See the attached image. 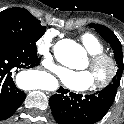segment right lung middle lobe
I'll return each instance as SVG.
<instances>
[{
  "mask_svg": "<svg viewBox=\"0 0 124 124\" xmlns=\"http://www.w3.org/2000/svg\"><path fill=\"white\" fill-rule=\"evenodd\" d=\"M46 27L24 8H10L0 12V41L21 43L36 51V42Z\"/></svg>",
  "mask_w": 124,
  "mask_h": 124,
  "instance_id": "1",
  "label": "right lung middle lobe"
}]
</instances>
